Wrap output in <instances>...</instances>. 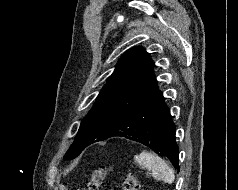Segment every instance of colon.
<instances>
[{"mask_svg": "<svg viewBox=\"0 0 238 190\" xmlns=\"http://www.w3.org/2000/svg\"><path fill=\"white\" fill-rule=\"evenodd\" d=\"M110 172L107 166H100L94 169L87 183V190H99L104 179ZM123 190H140L138 178L131 172H126L123 177Z\"/></svg>", "mask_w": 238, "mask_h": 190, "instance_id": "1", "label": "colon"}]
</instances>
